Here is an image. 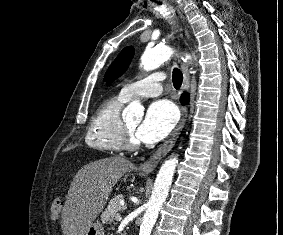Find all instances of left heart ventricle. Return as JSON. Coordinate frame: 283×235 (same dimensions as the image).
<instances>
[{
  "label": "left heart ventricle",
  "instance_id": "obj_1",
  "mask_svg": "<svg viewBox=\"0 0 283 235\" xmlns=\"http://www.w3.org/2000/svg\"><path fill=\"white\" fill-rule=\"evenodd\" d=\"M128 129L133 133L135 136V131L138 128L139 122H127L126 123Z\"/></svg>",
  "mask_w": 283,
  "mask_h": 235
}]
</instances>
